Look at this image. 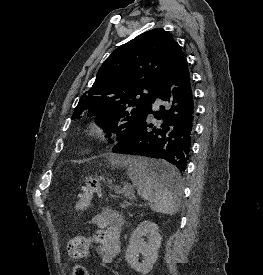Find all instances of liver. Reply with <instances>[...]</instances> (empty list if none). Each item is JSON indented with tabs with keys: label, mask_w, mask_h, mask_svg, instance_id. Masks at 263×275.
I'll return each mask as SVG.
<instances>
[{
	"label": "liver",
	"mask_w": 263,
	"mask_h": 275,
	"mask_svg": "<svg viewBox=\"0 0 263 275\" xmlns=\"http://www.w3.org/2000/svg\"><path fill=\"white\" fill-rule=\"evenodd\" d=\"M115 162H120V158H117V159L115 160Z\"/></svg>",
	"instance_id": "6515ba94"
}]
</instances>
